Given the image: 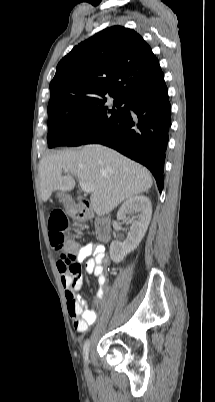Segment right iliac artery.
Returning <instances> with one entry per match:
<instances>
[{
	"label": "right iliac artery",
	"mask_w": 215,
	"mask_h": 402,
	"mask_svg": "<svg viewBox=\"0 0 215 402\" xmlns=\"http://www.w3.org/2000/svg\"><path fill=\"white\" fill-rule=\"evenodd\" d=\"M89 345H90L89 340H86L84 343V347H83V355H84L85 362L88 361Z\"/></svg>",
	"instance_id": "82829eb1"
}]
</instances>
